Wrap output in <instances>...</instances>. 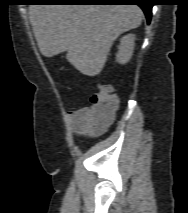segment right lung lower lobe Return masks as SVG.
<instances>
[{"label": "right lung lower lobe", "instance_id": "obj_1", "mask_svg": "<svg viewBox=\"0 0 188 213\" xmlns=\"http://www.w3.org/2000/svg\"><path fill=\"white\" fill-rule=\"evenodd\" d=\"M49 1L50 0H46L45 2L48 3ZM58 1H66L63 3H80V4H122V3L137 4L144 11L148 23H150L151 20L152 6L154 4L152 0H58Z\"/></svg>", "mask_w": 188, "mask_h": 213}]
</instances>
